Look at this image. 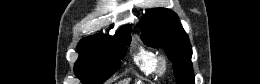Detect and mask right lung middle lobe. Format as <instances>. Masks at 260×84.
I'll return each instance as SVG.
<instances>
[{
  "mask_svg": "<svg viewBox=\"0 0 260 84\" xmlns=\"http://www.w3.org/2000/svg\"><path fill=\"white\" fill-rule=\"evenodd\" d=\"M130 33L78 46L80 57L75 74L84 84H102L120 67L130 44Z\"/></svg>",
  "mask_w": 260,
  "mask_h": 84,
  "instance_id": "1",
  "label": "right lung middle lobe"
}]
</instances>
